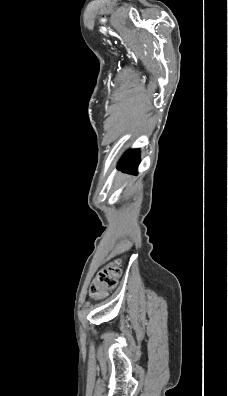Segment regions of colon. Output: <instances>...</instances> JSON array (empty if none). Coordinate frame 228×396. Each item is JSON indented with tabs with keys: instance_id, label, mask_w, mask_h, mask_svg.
Wrapping results in <instances>:
<instances>
[{
	"instance_id": "obj_1",
	"label": "colon",
	"mask_w": 228,
	"mask_h": 396,
	"mask_svg": "<svg viewBox=\"0 0 228 396\" xmlns=\"http://www.w3.org/2000/svg\"><path fill=\"white\" fill-rule=\"evenodd\" d=\"M121 276L120 259L116 258L109 262L96 275L90 287V295L94 299H102L107 291L117 286Z\"/></svg>"
}]
</instances>
